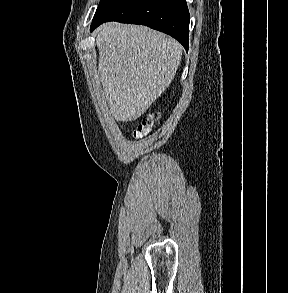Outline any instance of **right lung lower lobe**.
Wrapping results in <instances>:
<instances>
[{
	"mask_svg": "<svg viewBox=\"0 0 288 293\" xmlns=\"http://www.w3.org/2000/svg\"><path fill=\"white\" fill-rule=\"evenodd\" d=\"M108 21L149 26L174 37L188 50L190 14L186 0H127L102 23Z\"/></svg>",
	"mask_w": 288,
	"mask_h": 293,
	"instance_id": "right-lung-lower-lobe-1",
	"label": "right lung lower lobe"
}]
</instances>
